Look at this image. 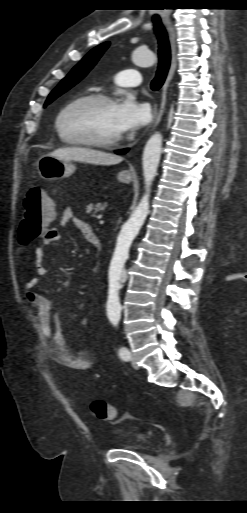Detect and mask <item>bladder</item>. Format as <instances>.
Masks as SVG:
<instances>
[{
    "instance_id": "obj_1",
    "label": "bladder",
    "mask_w": 247,
    "mask_h": 513,
    "mask_svg": "<svg viewBox=\"0 0 247 513\" xmlns=\"http://www.w3.org/2000/svg\"><path fill=\"white\" fill-rule=\"evenodd\" d=\"M150 446L151 440L149 436L144 433L129 432L123 437L116 439L109 449L145 451L149 449Z\"/></svg>"
}]
</instances>
